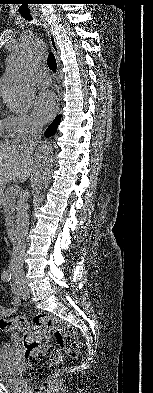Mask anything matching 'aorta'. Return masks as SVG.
I'll return each instance as SVG.
<instances>
[{"instance_id": "obj_1", "label": "aorta", "mask_w": 153, "mask_h": 393, "mask_svg": "<svg viewBox=\"0 0 153 393\" xmlns=\"http://www.w3.org/2000/svg\"><path fill=\"white\" fill-rule=\"evenodd\" d=\"M45 51L44 42L36 35L21 39L11 51L6 77L0 86V95L6 107L15 113L31 109L35 96L34 71ZM35 187L40 190L49 185L54 164L52 143L45 140L35 151Z\"/></svg>"}]
</instances>
